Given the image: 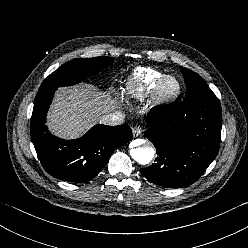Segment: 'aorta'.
<instances>
[{"label":"aorta","mask_w":248,"mask_h":248,"mask_svg":"<svg viewBox=\"0 0 248 248\" xmlns=\"http://www.w3.org/2000/svg\"><path fill=\"white\" fill-rule=\"evenodd\" d=\"M134 143L138 146L130 150L132 158L141 165L149 164L154 157V149L145 140H135Z\"/></svg>","instance_id":"762f6f07"}]
</instances>
